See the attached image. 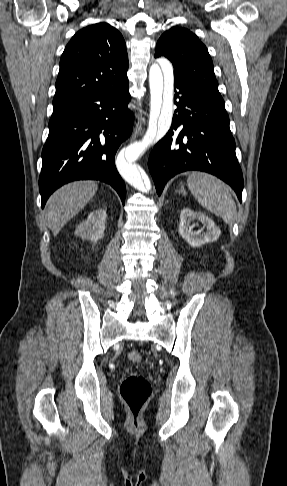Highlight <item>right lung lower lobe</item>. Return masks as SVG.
<instances>
[{
    "instance_id": "right-lung-lower-lobe-1",
    "label": "right lung lower lobe",
    "mask_w": 287,
    "mask_h": 486,
    "mask_svg": "<svg viewBox=\"0 0 287 486\" xmlns=\"http://www.w3.org/2000/svg\"><path fill=\"white\" fill-rule=\"evenodd\" d=\"M129 101L127 81L53 111L39 177L42 208L57 188L80 179L110 184L125 203L126 188L114 159L132 132Z\"/></svg>"
}]
</instances>
